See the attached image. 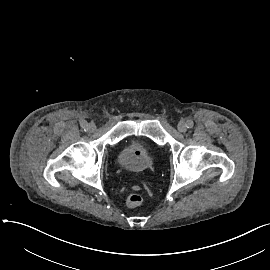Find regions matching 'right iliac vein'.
<instances>
[{"label": "right iliac vein", "instance_id": "obj_1", "mask_svg": "<svg viewBox=\"0 0 270 270\" xmlns=\"http://www.w3.org/2000/svg\"><path fill=\"white\" fill-rule=\"evenodd\" d=\"M95 129H96L95 123L90 122V123L87 125V130H88L89 132H93Z\"/></svg>", "mask_w": 270, "mask_h": 270}]
</instances>
